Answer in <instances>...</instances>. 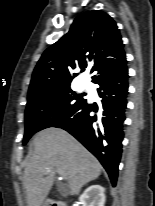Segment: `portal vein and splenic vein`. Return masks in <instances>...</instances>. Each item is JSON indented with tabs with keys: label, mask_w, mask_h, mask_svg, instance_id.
<instances>
[{
	"label": "portal vein and splenic vein",
	"mask_w": 155,
	"mask_h": 206,
	"mask_svg": "<svg viewBox=\"0 0 155 206\" xmlns=\"http://www.w3.org/2000/svg\"><path fill=\"white\" fill-rule=\"evenodd\" d=\"M50 170L49 169H47V172H49ZM60 175H61V177L63 178V179H66V177H65V175L62 173V172H58Z\"/></svg>",
	"instance_id": "18ae733b"
}]
</instances>
